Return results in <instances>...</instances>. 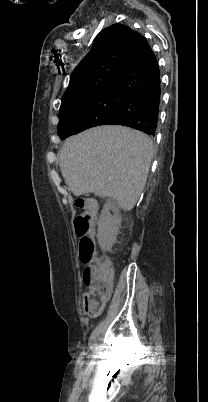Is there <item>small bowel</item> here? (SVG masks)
I'll use <instances>...</instances> for the list:
<instances>
[{"label": "small bowel", "instance_id": "obj_1", "mask_svg": "<svg viewBox=\"0 0 208 402\" xmlns=\"http://www.w3.org/2000/svg\"><path fill=\"white\" fill-rule=\"evenodd\" d=\"M87 269H85L84 273H87L86 271ZM96 297H98L99 299L103 300L105 303H107L110 299L112 295H94Z\"/></svg>", "mask_w": 208, "mask_h": 402}]
</instances>
